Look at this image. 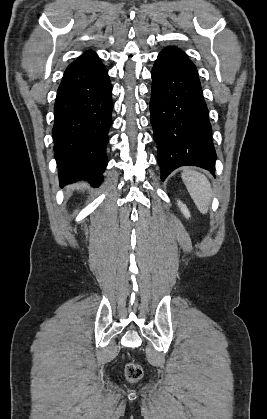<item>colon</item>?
<instances>
[{"instance_id":"5ec220e1","label":"colon","mask_w":267,"mask_h":419,"mask_svg":"<svg viewBox=\"0 0 267 419\" xmlns=\"http://www.w3.org/2000/svg\"><path fill=\"white\" fill-rule=\"evenodd\" d=\"M142 376V369L136 363H129L126 366V377L131 382L138 381Z\"/></svg>"}]
</instances>
